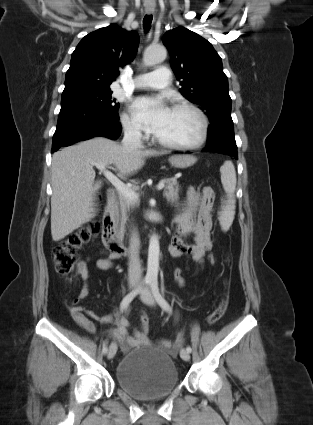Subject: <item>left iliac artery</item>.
Wrapping results in <instances>:
<instances>
[{"mask_svg":"<svg viewBox=\"0 0 313 425\" xmlns=\"http://www.w3.org/2000/svg\"><path fill=\"white\" fill-rule=\"evenodd\" d=\"M150 287H151V290H152V294H153V296H154V298H155V300L157 301V303L160 305V307L162 308V309H164L165 311H167V312H171V307H170V305L168 304V302L163 298V296L160 294V291H159V287H158V281H157V279H152L151 281H150ZM186 350L190 353L191 351H192V349H191V347L190 346H187L186 347Z\"/></svg>","mask_w":313,"mask_h":425,"instance_id":"left-iliac-artery-1","label":"left iliac artery"}]
</instances>
